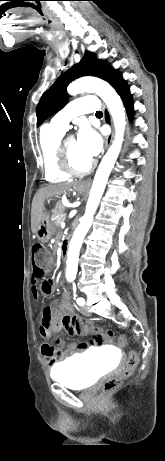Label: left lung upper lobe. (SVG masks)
Segmentation results:
<instances>
[{
  "instance_id": "obj_1",
  "label": "left lung upper lobe",
  "mask_w": 165,
  "mask_h": 461,
  "mask_svg": "<svg viewBox=\"0 0 165 461\" xmlns=\"http://www.w3.org/2000/svg\"><path fill=\"white\" fill-rule=\"evenodd\" d=\"M118 74L119 72L113 70L105 61L96 59L95 54L85 52L83 59L77 65L62 74L56 82L44 92L36 109L37 124L42 123L50 115L56 113L65 105L68 97L66 88L74 79L92 75L111 84Z\"/></svg>"
}]
</instances>
